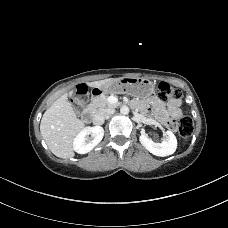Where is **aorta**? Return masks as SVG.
Wrapping results in <instances>:
<instances>
[{
	"instance_id": "1",
	"label": "aorta",
	"mask_w": 228,
	"mask_h": 228,
	"mask_svg": "<svg viewBox=\"0 0 228 228\" xmlns=\"http://www.w3.org/2000/svg\"><path fill=\"white\" fill-rule=\"evenodd\" d=\"M121 114L127 115L129 113V107L128 106H122L120 109Z\"/></svg>"
}]
</instances>
